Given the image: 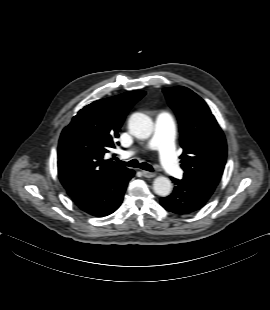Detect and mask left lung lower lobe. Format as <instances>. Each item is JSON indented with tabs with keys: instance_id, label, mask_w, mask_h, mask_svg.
Here are the masks:
<instances>
[{
	"instance_id": "obj_1",
	"label": "left lung lower lobe",
	"mask_w": 270,
	"mask_h": 310,
	"mask_svg": "<svg viewBox=\"0 0 270 310\" xmlns=\"http://www.w3.org/2000/svg\"><path fill=\"white\" fill-rule=\"evenodd\" d=\"M171 179L175 183L174 191L170 196L161 198L160 202L168 211L176 214H189L201 209L218 185L187 176L182 180Z\"/></svg>"
}]
</instances>
